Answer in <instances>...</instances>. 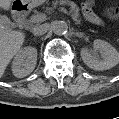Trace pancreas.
I'll list each match as a JSON object with an SVG mask.
<instances>
[{
  "label": "pancreas",
  "mask_w": 119,
  "mask_h": 119,
  "mask_svg": "<svg viewBox=\"0 0 119 119\" xmlns=\"http://www.w3.org/2000/svg\"><path fill=\"white\" fill-rule=\"evenodd\" d=\"M66 0H56L53 2L52 7L46 8L47 12H51L53 9L56 8L57 5H63L66 4ZM71 10L73 12V20L76 22V24H80L81 20L79 19V13H78V8L74 3H70ZM32 21V20H31Z\"/></svg>",
  "instance_id": "1"
}]
</instances>
